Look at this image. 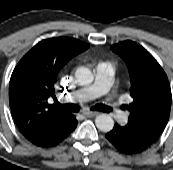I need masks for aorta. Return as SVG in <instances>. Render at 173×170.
<instances>
[{
    "label": "aorta",
    "mask_w": 173,
    "mask_h": 170,
    "mask_svg": "<svg viewBox=\"0 0 173 170\" xmlns=\"http://www.w3.org/2000/svg\"><path fill=\"white\" fill-rule=\"evenodd\" d=\"M76 78L81 84H90L94 79L92 72L86 67L76 71ZM95 124L100 131L109 132L114 127V120L109 114L103 113L96 117Z\"/></svg>",
    "instance_id": "762f6f07"
}]
</instances>
